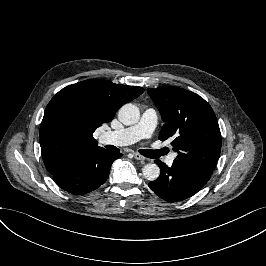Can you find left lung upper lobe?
<instances>
[{
	"label": "left lung upper lobe",
	"instance_id": "1",
	"mask_svg": "<svg viewBox=\"0 0 266 266\" xmlns=\"http://www.w3.org/2000/svg\"><path fill=\"white\" fill-rule=\"evenodd\" d=\"M161 114L159 139L173 138L175 161L185 162L212 173L220 156L221 134L211 106L185 89L160 86L147 89Z\"/></svg>",
	"mask_w": 266,
	"mask_h": 266
}]
</instances>
